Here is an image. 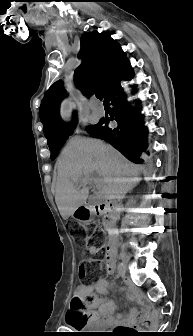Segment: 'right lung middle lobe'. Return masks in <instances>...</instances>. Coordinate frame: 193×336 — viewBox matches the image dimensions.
<instances>
[{"label": "right lung middle lobe", "instance_id": "dd1d6c3e", "mask_svg": "<svg viewBox=\"0 0 193 336\" xmlns=\"http://www.w3.org/2000/svg\"><path fill=\"white\" fill-rule=\"evenodd\" d=\"M99 127V123L97 125H92L89 127V133H93ZM71 129L67 130L66 132L57 135L50 141H48V146L51 151V160H54L58 154V151L61 149L65 140L67 139L68 135L71 133Z\"/></svg>", "mask_w": 193, "mask_h": 336}]
</instances>
